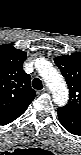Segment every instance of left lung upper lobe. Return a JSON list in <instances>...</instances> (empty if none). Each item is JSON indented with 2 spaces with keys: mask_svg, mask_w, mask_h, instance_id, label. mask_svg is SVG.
Here are the masks:
<instances>
[{
  "mask_svg": "<svg viewBox=\"0 0 81 155\" xmlns=\"http://www.w3.org/2000/svg\"><path fill=\"white\" fill-rule=\"evenodd\" d=\"M56 65L65 77L69 88V101L59 109L81 119V56L80 53L55 57Z\"/></svg>",
  "mask_w": 81,
  "mask_h": 155,
  "instance_id": "obj_1",
  "label": "left lung upper lobe"
}]
</instances>
